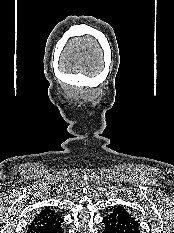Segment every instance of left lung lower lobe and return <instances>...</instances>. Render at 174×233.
Returning <instances> with one entry per match:
<instances>
[{
  "mask_svg": "<svg viewBox=\"0 0 174 233\" xmlns=\"http://www.w3.org/2000/svg\"><path fill=\"white\" fill-rule=\"evenodd\" d=\"M102 233H140L139 223L130 215L113 211L102 220Z\"/></svg>",
  "mask_w": 174,
  "mask_h": 233,
  "instance_id": "1",
  "label": "left lung lower lobe"
}]
</instances>
